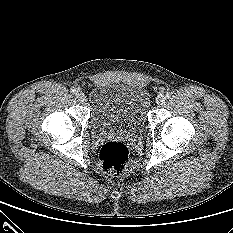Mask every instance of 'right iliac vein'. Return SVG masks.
<instances>
[{"mask_svg": "<svg viewBox=\"0 0 233 233\" xmlns=\"http://www.w3.org/2000/svg\"><path fill=\"white\" fill-rule=\"evenodd\" d=\"M75 95H76V98L78 99L79 102L85 101L86 97L82 91H77Z\"/></svg>", "mask_w": 233, "mask_h": 233, "instance_id": "1", "label": "right iliac vein"}]
</instances>
